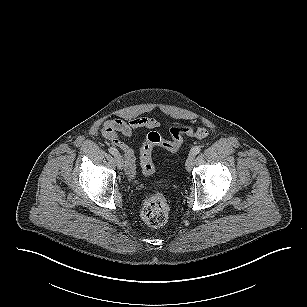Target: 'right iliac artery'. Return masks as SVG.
I'll use <instances>...</instances> for the list:
<instances>
[{
  "instance_id": "1",
  "label": "right iliac artery",
  "mask_w": 307,
  "mask_h": 307,
  "mask_svg": "<svg viewBox=\"0 0 307 307\" xmlns=\"http://www.w3.org/2000/svg\"><path fill=\"white\" fill-rule=\"evenodd\" d=\"M109 152L112 154V155H117L119 154L118 150L114 147H110L109 149Z\"/></svg>"
}]
</instances>
